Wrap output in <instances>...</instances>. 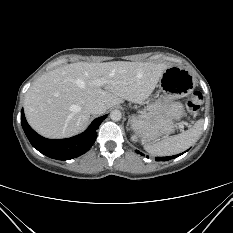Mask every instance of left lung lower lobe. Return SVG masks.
Returning <instances> with one entry per match:
<instances>
[{"instance_id": "1", "label": "left lung lower lobe", "mask_w": 233, "mask_h": 233, "mask_svg": "<svg viewBox=\"0 0 233 233\" xmlns=\"http://www.w3.org/2000/svg\"><path fill=\"white\" fill-rule=\"evenodd\" d=\"M137 153H140L139 151H136ZM141 155H142V153H140ZM181 154H179V155H174V156H168V157H156V161H160V160H162V161H167V160H170V159H174V158H176V157H178V156H180Z\"/></svg>"}]
</instances>
